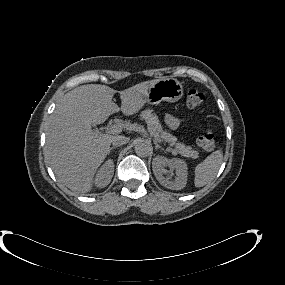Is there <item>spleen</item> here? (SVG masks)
<instances>
[{
    "label": "spleen",
    "mask_w": 285,
    "mask_h": 285,
    "mask_svg": "<svg viewBox=\"0 0 285 285\" xmlns=\"http://www.w3.org/2000/svg\"><path fill=\"white\" fill-rule=\"evenodd\" d=\"M223 161L222 150L211 153L202 163L195 168L194 184L196 187H203L210 183L216 176Z\"/></svg>",
    "instance_id": "1"
}]
</instances>
